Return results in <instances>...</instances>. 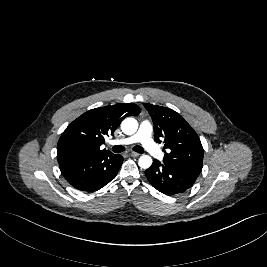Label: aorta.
<instances>
[{
    "label": "aorta",
    "instance_id": "obj_1",
    "mask_svg": "<svg viewBox=\"0 0 267 267\" xmlns=\"http://www.w3.org/2000/svg\"><path fill=\"white\" fill-rule=\"evenodd\" d=\"M121 129L123 133L132 135L138 129V122L132 117L126 118L121 123ZM138 165L143 169H147L152 165V158L149 155H142L138 160Z\"/></svg>",
    "mask_w": 267,
    "mask_h": 267
}]
</instances>
